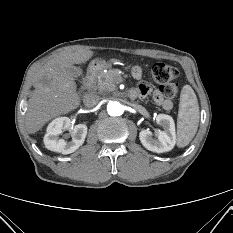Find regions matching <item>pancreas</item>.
<instances>
[{
    "label": "pancreas",
    "instance_id": "cf45deb5",
    "mask_svg": "<svg viewBox=\"0 0 233 233\" xmlns=\"http://www.w3.org/2000/svg\"><path fill=\"white\" fill-rule=\"evenodd\" d=\"M121 80L118 69H109L107 72H101L97 77V89L100 93H108L115 90L116 83Z\"/></svg>",
    "mask_w": 233,
    "mask_h": 233
}]
</instances>
